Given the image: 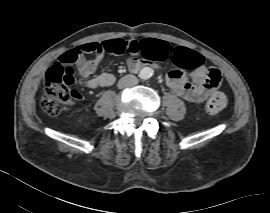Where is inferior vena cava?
Wrapping results in <instances>:
<instances>
[{
    "instance_id": "1",
    "label": "inferior vena cava",
    "mask_w": 270,
    "mask_h": 213,
    "mask_svg": "<svg viewBox=\"0 0 270 213\" xmlns=\"http://www.w3.org/2000/svg\"><path fill=\"white\" fill-rule=\"evenodd\" d=\"M138 83V79L134 75H126L122 77L119 81L120 88L131 87Z\"/></svg>"
}]
</instances>
